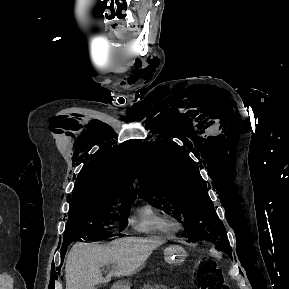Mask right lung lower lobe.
I'll list each match as a JSON object with an SVG mask.
<instances>
[{"label": "right lung lower lobe", "mask_w": 289, "mask_h": 289, "mask_svg": "<svg viewBox=\"0 0 289 289\" xmlns=\"http://www.w3.org/2000/svg\"><path fill=\"white\" fill-rule=\"evenodd\" d=\"M66 248H67V246H63L62 247V249H61V255H62V258H63V256L66 254Z\"/></svg>", "instance_id": "right-lung-lower-lobe-1"}]
</instances>
